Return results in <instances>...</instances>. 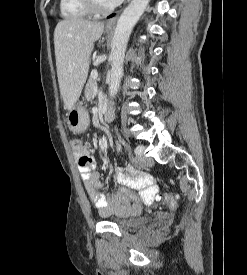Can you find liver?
<instances>
[{
  "mask_svg": "<svg viewBox=\"0 0 247 275\" xmlns=\"http://www.w3.org/2000/svg\"><path fill=\"white\" fill-rule=\"evenodd\" d=\"M104 30L103 22L80 18L60 21L54 31L57 77L64 108L70 110L86 82L89 57Z\"/></svg>",
  "mask_w": 247,
  "mask_h": 275,
  "instance_id": "liver-1",
  "label": "liver"
}]
</instances>
